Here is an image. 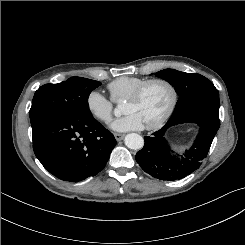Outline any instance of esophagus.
<instances>
[{
  "label": "esophagus",
  "instance_id": "1",
  "mask_svg": "<svg viewBox=\"0 0 245 245\" xmlns=\"http://www.w3.org/2000/svg\"><path fill=\"white\" fill-rule=\"evenodd\" d=\"M124 134H121V133H114V137L117 141H120L124 138Z\"/></svg>",
  "mask_w": 245,
  "mask_h": 245
}]
</instances>
